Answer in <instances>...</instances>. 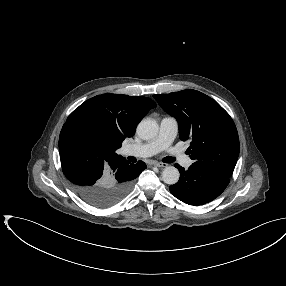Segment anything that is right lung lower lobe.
Here are the masks:
<instances>
[{
    "mask_svg": "<svg viewBox=\"0 0 286 286\" xmlns=\"http://www.w3.org/2000/svg\"><path fill=\"white\" fill-rule=\"evenodd\" d=\"M62 170L76 194L95 207L117 204L131 190L133 180L146 169L139 161L129 163L124 157L111 159L85 132L63 126L59 137Z\"/></svg>",
    "mask_w": 286,
    "mask_h": 286,
    "instance_id": "98d812e1",
    "label": "right lung lower lobe"
}]
</instances>
